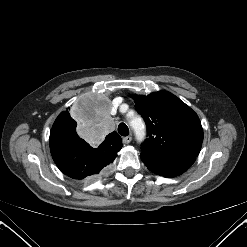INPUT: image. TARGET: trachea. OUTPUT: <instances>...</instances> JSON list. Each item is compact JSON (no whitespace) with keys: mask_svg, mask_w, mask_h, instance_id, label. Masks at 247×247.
<instances>
[{"mask_svg":"<svg viewBox=\"0 0 247 247\" xmlns=\"http://www.w3.org/2000/svg\"><path fill=\"white\" fill-rule=\"evenodd\" d=\"M118 133L122 136H128L129 129L125 123H120L118 126Z\"/></svg>","mask_w":247,"mask_h":247,"instance_id":"trachea-1","label":"trachea"}]
</instances>
